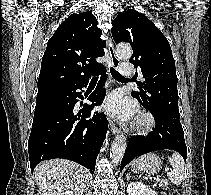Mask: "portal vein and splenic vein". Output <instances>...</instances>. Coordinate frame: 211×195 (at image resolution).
<instances>
[{
    "mask_svg": "<svg viewBox=\"0 0 211 195\" xmlns=\"http://www.w3.org/2000/svg\"><path fill=\"white\" fill-rule=\"evenodd\" d=\"M166 171H168V170L166 169ZM159 181H160V179H159V178H157V179H156V183H157V182H159Z\"/></svg>",
    "mask_w": 211,
    "mask_h": 195,
    "instance_id": "portal-vein-and-splenic-vein-1",
    "label": "portal vein and splenic vein"
}]
</instances>
